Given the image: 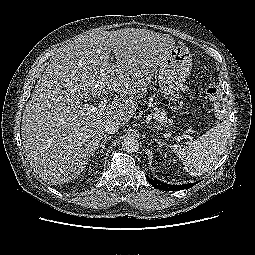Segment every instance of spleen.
Instances as JSON below:
<instances>
[{"label": "spleen", "mask_w": 255, "mask_h": 255, "mask_svg": "<svg viewBox=\"0 0 255 255\" xmlns=\"http://www.w3.org/2000/svg\"><path fill=\"white\" fill-rule=\"evenodd\" d=\"M231 135L229 122L223 121L193 141L188 147L172 145L173 151L182 160L186 171L199 176L212 169L223 154Z\"/></svg>", "instance_id": "3e777b00"}]
</instances>
